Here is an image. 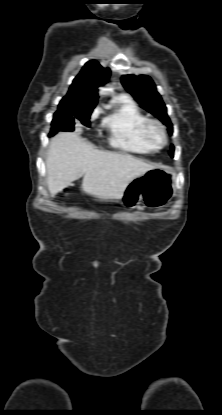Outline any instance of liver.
<instances>
[{"mask_svg":"<svg viewBox=\"0 0 222 415\" xmlns=\"http://www.w3.org/2000/svg\"><path fill=\"white\" fill-rule=\"evenodd\" d=\"M46 167L51 197L83 176V192L117 200L131 180L159 166L129 154L97 150L79 134L61 132L50 141Z\"/></svg>","mask_w":222,"mask_h":415,"instance_id":"obj_1","label":"liver"}]
</instances>
